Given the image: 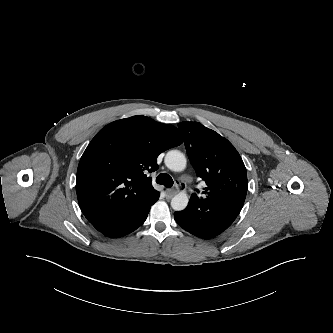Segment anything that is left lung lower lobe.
Listing matches in <instances>:
<instances>
[{
  "label": "left lung lower lobe",
  "mask_w": 333,
  "mask_h": 333,
  "mask_svg": "<svg viewBox=\"0 0 333 333\" xmlns=\"http://www.w3.org/2000/svg\"><path fill=\"white\" fill-rule=\"evenodd\" d=\"M246 194L229 189L198 198L192 196L183 211L175 212L176 222L186 231L201 238H212L226 230L236 219Z\"/></svg>",
  "instance_id": "obj_1"
}]
</instances>
